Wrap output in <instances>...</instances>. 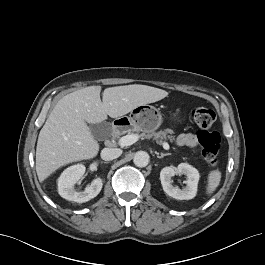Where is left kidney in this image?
I'll list each match as a JSON object with an SVG mask.
<instances>
[{"instance_id":"1","label":"left kidney","mask_w":265,"mask_h":265,"mask_svg":"<svg viewBox=\"0 0 265 265\" xmlns=\"http://www.w3.org/2000/svg\"><path fill=\"white\" fill-rule=\"evenodd\" d=\"M175 174L187 176L186 187L180 189L172 185L171 178ZM199 178L198 170L187 163H181L177 168L171 166L164 167L160 172V180L164 192L178 200H189L196 196Z\"/></svg>"}]
</instances>
